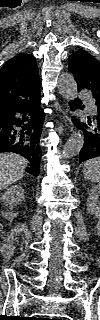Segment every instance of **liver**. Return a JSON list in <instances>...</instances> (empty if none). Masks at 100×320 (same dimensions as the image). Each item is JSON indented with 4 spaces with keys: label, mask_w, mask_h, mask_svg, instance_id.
Here are the masks:
<instances>
[{
    "label": "liver",
    "mask_w": 100,
    "mask_h": 320,
    "mask_svg": "<svg viewBox=\"0 0 100 320\" xmlns=\"http://www.w3.org/2000/svg\"><path fill=\"white\" fill-rule=\"evenodd\" d=\"M28 161L15 153L0 155V189L15 183L23 178Z\"/></svg>",
    "instance_id": "obj_1"
}]
</instances>
